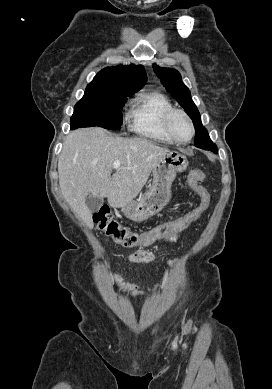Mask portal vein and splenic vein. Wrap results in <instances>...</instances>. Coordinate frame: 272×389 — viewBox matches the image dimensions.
I'll return each instance as SVG.
<instances>
[{"label": "portal vein and splenic vein", "instance_id": "obj_1", "mask_svg": "<svg viewBox=\"0 0 272 389\" xmlns=\"http://www.w3.org/2000/svg\"><path fill=\"white\" fill-rule=\"evenodd\" d=\"M120 166H121L120 160L114 161V163H113V168H114V169H119Z\"/></svg>", "mask_w": 272, "mask_h": 389}]
</instances>
